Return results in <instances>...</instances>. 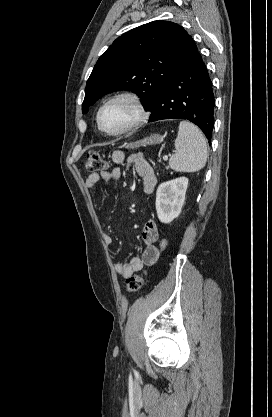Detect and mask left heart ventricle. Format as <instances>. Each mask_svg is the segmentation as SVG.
Returning <instances> with one entry per match:
<instances>
[{
	"label": "left heart ventricle",
	"instance_id": "left-heart-ventricle-1",
	"mask_svg": "<svg viewBox=\"0 0 272 417\" xmlns=\"http://www.w3.org/2000/svg\"><path fill=\"white\" fill-rule=\"evenodd\" d=\"M136 116L137 111L131 102L118 100L105 108L102 125L107 131H118L132 123Z\"/></svg>",
	"mask_w": 272,
	"mask_h": 417
}]
</instances>
